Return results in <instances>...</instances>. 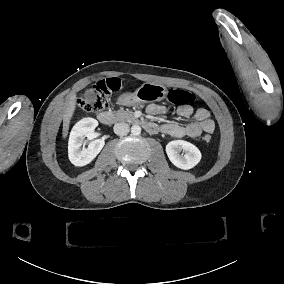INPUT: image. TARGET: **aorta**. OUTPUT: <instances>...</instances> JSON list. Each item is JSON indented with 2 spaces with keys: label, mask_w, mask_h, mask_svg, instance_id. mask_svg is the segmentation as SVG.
Here are the masks:
<instances>
[{
  "label": "aorta",
  "mask_w": 284,
  "mask_h": 284,
  "mask_svg": "<svg viewBox=\"0 0 284 284\" xmlns=\"http://www.w3.org/2000/svg\"><path fill=\"white\" fill-rule=\"evenodd\" d=\"M131 133L133 135H139L141 133V127L139 125H133L131 127Z\"/></svg>",
  "instance_id": "aorta-1"
}]
</instances>
